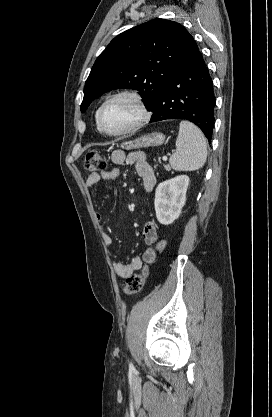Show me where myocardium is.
I'll list each match as a JSON object with an SVG mask.
<instances>
[{
	"mask_svg": "<svg viewBox=\"0 0 272 417\" xmlns=\"http://www.w3.org/2000/svg\"><path fill=\"white\" fill-rule=\"evenodd\" d=\"M119 98H129L133 100L139 109L140 115H139V118L129 127L123 130L117 131V132H109L103 127L102 115H103L105 108L111 102ZM150 116H151L150 110L140 93L134 90H122L117 93H114L102 103L96 115V122H97L98 129L104 135H107L110 137H119V136H124L130 133H133L137 131L138 129H140L150 119Z\"/></svg>",
	"mask_w": 272,
	"mask_h": 417,
	"instance_id": "1",
	"label": "myocardium"
}]
</instances>
